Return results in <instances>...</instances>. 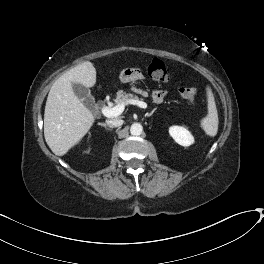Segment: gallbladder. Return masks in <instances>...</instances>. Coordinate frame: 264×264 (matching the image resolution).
I'll return each instance as SVG.
<instances>
[{"label": "gallbladder", "instance_id": "gallbladder-1", "mask_svg": "<svg viewBox=\"0 0 264 264\" xmlns=\"http://www.w3.org/2000/svg\"><path fill=\"white\" fill-rule=\"evenodd\" d=\"M72 87H73L74 93L83 102V104L87 108L92 109L95 104V99L91 95L90 90L84 85L78 84V83H73Z\"/></svg>", "mask_w": 264, "mask_h": 264}]
</instances>
